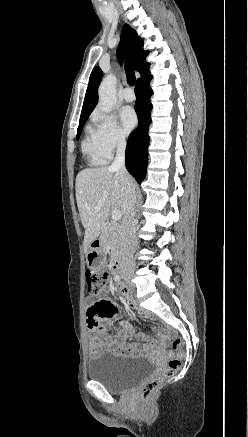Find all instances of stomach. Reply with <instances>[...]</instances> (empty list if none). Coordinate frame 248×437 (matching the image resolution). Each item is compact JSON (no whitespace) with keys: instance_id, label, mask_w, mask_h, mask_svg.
Returning <instances> with one entry per match:
<instances>
[{"instance_id":"1","label":"stomach","mask_w":248,"mask_h":437,"mask_svg":"<svg viewBox=\"0 0 248 437\" xmlns=\"http://www.w3.org/2000/svg\"><path fill=\"white\" fill-rule=\"evenodd\" d=\"M87 264L90 272H105V259L101 251L88 253Z\"/></svg>"}]
</instances>
